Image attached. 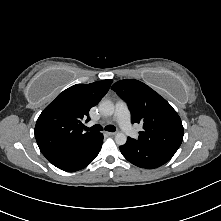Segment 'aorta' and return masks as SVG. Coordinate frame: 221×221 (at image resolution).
<instances>
[{"instance_id": "1", "label": "aorta", "mask_w": 221, "mask_h": 221, "mask_svg": "<svg viewBox=\"0 0 221 221\" xmlns=\"http://www.w3.org/2000/svg\"><path fill=\"white\" fill-rule=\"evenodd\" d=\"M100 112L105 116H111L114 113V104L109 100H103L99 105ZM127 141V136L123 132H118L115 135V142L117 145H124Z\"/></svg>"}]
</instances>
